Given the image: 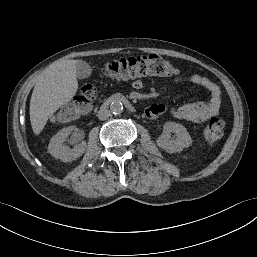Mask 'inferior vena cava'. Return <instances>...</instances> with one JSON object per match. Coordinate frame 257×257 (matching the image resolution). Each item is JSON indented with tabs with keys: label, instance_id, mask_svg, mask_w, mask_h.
I'll return each mask as SVG.
<instances>
[{
	"label": "inferior vena cava",
	"instance_id": "602c4592",
	"mask_svg": "<svg viewBox=\"0 0 257 257\" xmlns=\"http://www.w3.org/2000/svg\"><path fill=\"white\" fill-rule=\"evenodd\" d=\"M97 115L100 120H106L111 116V112L110 110L103 108L98 111Z\"/></svg>",
	"mask_w": 257,
	"mask_h": 257
}]
</instances>
